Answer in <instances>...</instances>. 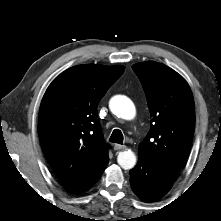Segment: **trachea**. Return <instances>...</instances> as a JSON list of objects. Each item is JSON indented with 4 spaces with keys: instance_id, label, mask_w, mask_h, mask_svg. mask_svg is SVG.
Returning a JSON list of instances; mask_svg holds the SVG:
<instances>
[{
    "instance_id": "1",
    "label": "trachea",
    "mask_w": 221,
    "mask_h": 221,
    "mask_svg": "<svg viewBox=\"0 0 221 221\" xmlns=\"http://www.w3.org/2000/svg\"><path fill=\"white\" fill-rule=\"evenodd\" d=\"M110 142L123 144V134L119 129L113 130L110 139Z\"/></svg>"
}]
</instances>
